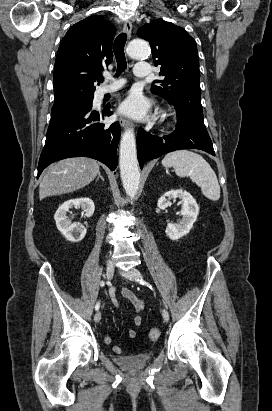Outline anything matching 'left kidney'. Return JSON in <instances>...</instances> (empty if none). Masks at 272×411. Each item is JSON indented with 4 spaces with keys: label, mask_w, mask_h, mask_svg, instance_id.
I'll use <instances>...</instances> for the list:
<instances>
[{
    "label": "left kidney",
    "mask_w": 272,
    "mask_h": 411,
    "mask_svg": "<svg viewBox=\"0 0 272 411\" xmlns=\"http://www.w3.org/2000/svg\"><path fill=\"white\" fill-rule=\"evenodd\" d=\"M181 199L182 220L178 223H168L166 227V235L171 240H178L187 235L193 227L194 222L199 214V206L193 196L182 189L170 190L158 199L157 206L160 210L166 209L171 199Z\"/></svg>",
    "instance_id": "1"
}]
</instances>
